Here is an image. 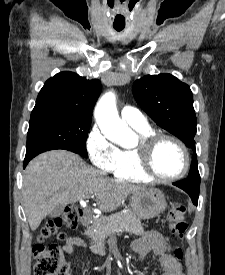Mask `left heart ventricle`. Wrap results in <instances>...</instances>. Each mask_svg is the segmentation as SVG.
I'll return each instance as SVG.
<instances>
[{"label":"left heart ventricle","mask_w":225,"mask_h":275,"mask_svg":"<svg viewBox=\"0 0 225 275\" xmlns=\"http://www.w3.org/2000/svg\"><path fill=\"white\" fill-rule=\"evenodd\" d=\"M184 165L181 149L174 142L162 141L153 155V166L157 173L171 176L179 173Z\"/></svg>","instance_id":"obj_1"}]
</instances>
